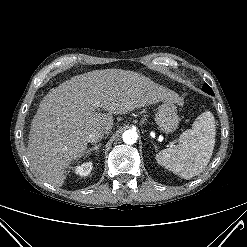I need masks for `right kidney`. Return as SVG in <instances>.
<instances>
[{
    "label": "right kidney",
    "instance_id": "ca27d5eb",
    "mask_svg": "<svg viewBox=\"0 0 247 247\" xmlns=\"http://www.w3.org/2000/svg\"><path fill=\"white\" fill-rule=\"evenodd\" d=\"M92 167L93 163L91 161L85 162L81 165H77L76 167H74V172L75 174L80 175L81 177H85L88 174H90Z\"/></svg>",
    "mask_w": 247,
    "mask_h": 247
}]
</instances>
